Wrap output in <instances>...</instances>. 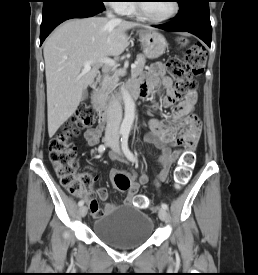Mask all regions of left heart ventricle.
Segmentation results:
<instances>
[{
  "label": "left heart ventricle",
  "mask_w": 258,
  "mask_h": 275,
  "mask_svg": "<svg viewBox=\"0 0 258 275\" xmlns=\"http://www.w3.org/2000/svg\"><path fill=\"white\" fill-rule=\"evenodd\" d=\"M143 3L146 12L154 18H162L172 13L174 9L173 1H146Z\"/></svg>",
  "instance_id": "obj_1"
}]
</instances>
